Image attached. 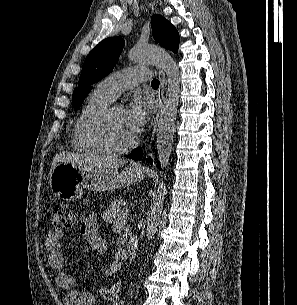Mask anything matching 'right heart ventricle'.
Masks as SVG:
<instances>
[{
	"label": "right heart ventricle",
	"mask_w": 297,
	"mask_h": 305,
	"mask_svg": "<svg viewBox=\"0 0 297 305\" xmlns=\"http://www.w3.org/2000/svg\"><path fill=\"white\" fill-rule=\"evenodd\" d=\"M112 101L102 94L98 88L94 89L79 110L72 129V145L75 150L98 154L101 150L96 147L85 134L87 120L100 109L108 106Z\"/></svg>",
	"instance_id": "obj_1"
}]
</instances>
